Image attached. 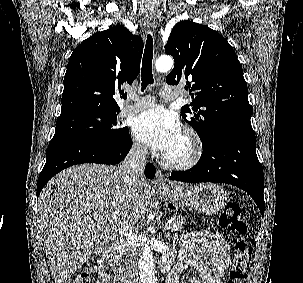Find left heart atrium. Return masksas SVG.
Returning <instances> with one entry per match:
<instances>
[{"label":"left heart atrium","instance_id":"obj_1","mask_svg":"<svg viewBox=\"0 0 303 283\" xmlns=\"http://www.w3.org/2000/svg\"><path fill=\"white\" fill-rule=\"evenodd\" d=\"M133 132L140 141L164 154L169 153L182 137L177 116L161 106L140 114L135 121Z\"/></svg>","mask_w":303,"mask_h":283}]
</instances>
